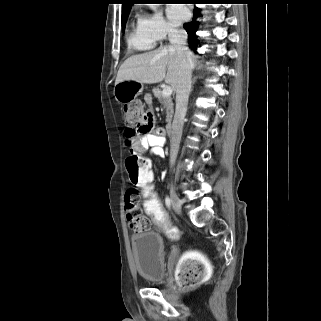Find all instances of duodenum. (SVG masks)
Masks as SVG:
<instances>
[{"instance_id": "1", "label": "duodenum", "mask_w": 321, "mask_h": 321, "mask_svg": "<svg viewBox=\"0 0 321 321\" xmlns=\"http://www.w3.org/2000/svg\"><path fill=\"white\" fill-rule=\"evenodd\" d=\"M165 132L168 136H171L172 133H173V125L171 123H168L166 126H165Z\"/></svg>"}]
</instances>
